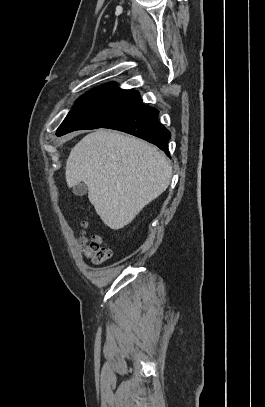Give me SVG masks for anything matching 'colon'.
<instances>
[{"label":"colon","instance_id":"1","mask_svg":"<svg viewBox=\"0 0 265 407\" xmlns=\"http://www.w3.org/2000/svg\"><path fill=\"white\" fill-rule=\"evenodd\" d=\"M86 227V224H85ZM83 251L93 263L100 264L111 256V250L103 245L102 238L96 234L87 235L83 232L80 237Z\"/></svg>","mask_w":265,"mask_h":407}]
</instances>
